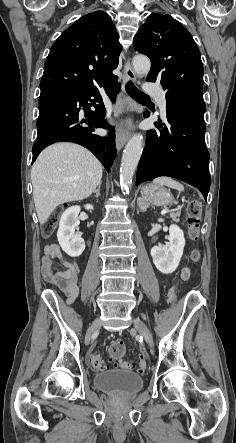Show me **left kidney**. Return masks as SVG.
Listing matches in <instances>:
<instances>
[{
	"label": "left kidney",
	"instance_id": "1",
	"mask_svg": "<svg viewBox=\"0 0 236 443\" xmlns=\"http://www.w3.org/2000/svg\"><path fill=\"white\" fill-rule=\"evenodd\" d=\"M158 221L163 222V219ZM169 234L167 246H154L151 249L153 263L163 274H171L177 269L185 247L184 232L179 226L171 225Z\"/></svg>",
	"mask_w": 236,
	"mask_h": 443
}]
</instances>
